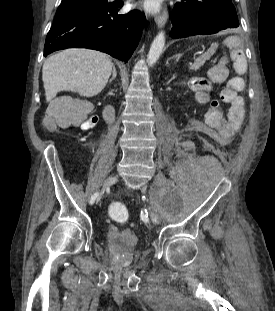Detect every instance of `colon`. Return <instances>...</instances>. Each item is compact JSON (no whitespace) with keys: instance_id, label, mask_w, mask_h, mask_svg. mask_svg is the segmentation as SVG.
<instances>
[{"instance_id":"obj_1","label":"colon","mask_w":275,"mask_h":311,"mask_svg":"<svg viewBox=\"0 0 275 311\" xmlns=\"http://www.w3.org/2000/svg\"><path fill=\"white\" fill-rule=\"evenodd\" d=\"M233 60L237 72L243 73L246 69L245 58L233 57ZM243 87L244 80L241 77L231 78L221 92L222 102H232ZM81 121V117L73 113L72 103L70 101H59L54 102L48 108L44 122L47 129H52L55 123L60 126H69L72 124L77 125ZM109 212L116 219H126L128 217L127 209L120 203H111L109 205Z\"/></svg>"}]
</instances>
